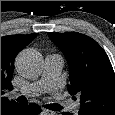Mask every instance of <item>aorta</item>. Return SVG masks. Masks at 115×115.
<instances>
[{"label":"aorta","instance_id":"obj_1","mask_svg":"<svg viewBox=\"0 0 115 115\" xmlns=\"http://www.w3.org/2000/svg\"><path fill=\"white\" fill-rule=\"evenodd\" d=\"M43 66L41 55L32 49L23 50L16 59L17 72L26 78L37 77Z\"/></svg>","mask_w":115,"mask_h":115}]
</instances>
